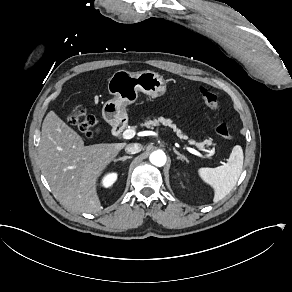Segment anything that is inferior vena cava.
<instances>
[{
  "mask_svg": "<svg viewBox=\"0 0 292 292\" xmlns=\"http://www.w3.org/2000/svg\"><path fill=\"white\" fill-rule=\"evenodd\" d=\"M142 150V145L139 143H131L125 147V151L128 154H136Z\"/></svg>",
  "mask_w": 292,
  "mask_h": 292,
  "instance_id": "602c4592",
  "label": "inferior vena cava"
}]
</instances>
